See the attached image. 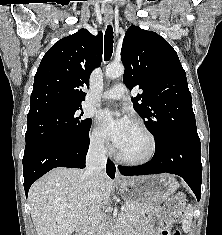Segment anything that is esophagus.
I'll use <instances>...</instances> for the list:
<instances>
[{"label": "esophagus", "instance_id": "esophagus-1", "mask_svg": "<svg viewBox=\"0 0 222 235\" xmlns=\"http://www.w3.org/2000/svg\"><path fill=\"white\" fill-rule=\"evenodd\" d=\"M104 17H105L106 23L110 24L112 22V18H113V11L111 9H106L104 12ZM124 180H125L124 177L121 175V173L119 172L117 165H116L115 181L122 182Z\"/></svg>", "mask_w": 222, "mask_h": 235}]
</instances>
